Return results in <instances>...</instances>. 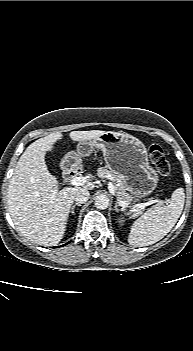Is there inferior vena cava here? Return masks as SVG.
Returning a JSON list of instances; mask_svg holds the SVG:
<instances>
[{"label":"inferior vena cava","mask_w":193,"mask_h":351,"mask_svg":"<svg viewBox=\"0 0 193 351\" xmlns=\"http://www.w3.org/2000/svg\"><path fill=\"white\" fill-rule=\"evenodd\" d=\"M89 196H90V193L88 190L81 189L76 193L74 200L76 201L77 204H84L85 202L88 201Z\"/></svg>","instance_id":"1"}]
</instances>
